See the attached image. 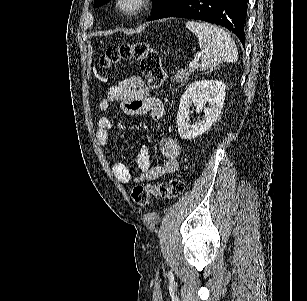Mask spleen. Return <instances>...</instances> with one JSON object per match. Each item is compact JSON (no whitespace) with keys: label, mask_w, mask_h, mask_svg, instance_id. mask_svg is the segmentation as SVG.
Here are the masks:
<instances>
[{"label":"spleen","mask_w":307,"mask_h":301,"mask_svg":"<svg viewBox=\"0 0 307 301\" xmlns=\"http://www.w3.org/2000/svg\"><path fill=\"white\" fill-rule=\"evenodd\" d=\"M185 26L195 32L200 48L205 50L200 62L202 70H211L220 62H237V46L223 28L210 22H195V20H188Z\"/></svg>","instance_id":"spleen-1"}]
</instances>
